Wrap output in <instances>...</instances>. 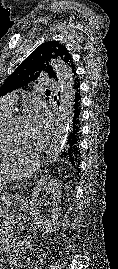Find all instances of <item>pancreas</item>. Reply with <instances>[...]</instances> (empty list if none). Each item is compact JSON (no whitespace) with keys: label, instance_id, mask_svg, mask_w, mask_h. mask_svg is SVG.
Here are the masks:
<instances>
[{"label":"pancreas","instance_id":"cf45deb5","mask_svg":"<svg viewBox=\"0 0 118 269\" xmlns=\"http://www.w3.org/2000/svg\"><path fill=\"white\" fill-rule=\"evenodd\" d=\"M33 181V177H23L22 179H19L18 182H12L10 192H20L21 190H26L27 186L24 184H30Z\"/></svg>","mask_w":118,"mask_h":269}]
</instances>
